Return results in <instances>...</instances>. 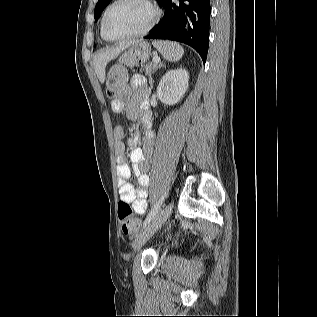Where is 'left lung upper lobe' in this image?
<instances>
[{"label":"left lung upper lobe","instance_id":"left-lung-upper-lobe-1","mask_svg":"<svg viewBox=\"0 0 317 317\" xmlns=\"http://www.w3.org/2000/svg\"><path fill=\"white\" fill-rule=\"evenodd\" d=\"M165 0H157L158 4L161 6L162 3ZM111 2V0H98V3L95 6V14L94 18L97 21V19L100 17L101 12L104 10V8Z\"/></svg>","mask_w":317,"mask_h":317}]
</instances>
